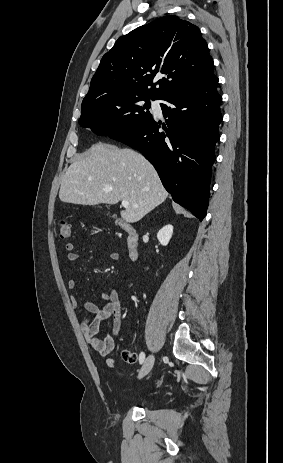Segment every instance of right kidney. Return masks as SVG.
<instances>
[{"label": "right kidney", "mask_w": 283, "mask_h": 463, "mask_svg": "<svg viewBox=\"0 0 283 463\" xmlns=\"http://www.w3.org/2000/svg\"><path fill=\"white\" fill-rule=\"evenodd\" d=\"M172 234L173 226L168 224L159 230V232L157 233V239L163 246H166L169 243Z\"/></svg>", "instance_id": "ca27d5eb"}]
</instances>
